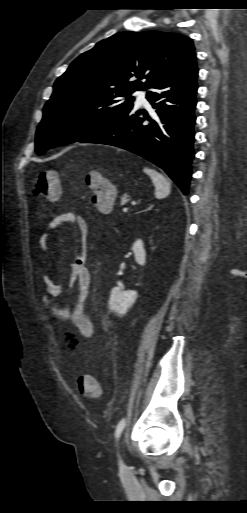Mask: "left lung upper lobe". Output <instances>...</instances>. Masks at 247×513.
Wrapping results in <instances>:
<instances>
[{
	"label": "left lung upper lobe",
	"mask_w": 247,
	"mask_h": 513,
	"mask_svg": "<svg viewBox=\"0 0 247 513\" xmlns=\"http://www.w3.org/2000/svg\"><path fill=\"white\" fill-rule=\"evenodd\" d=\"M196 57L176 33L121 32L76 58L54 84L37 127L35 151L81 141L133 108L131 94L174 76Z\"/></svg>",
	"instance_id": "left-lung-upper-lobe-1"
}]
</instances>
